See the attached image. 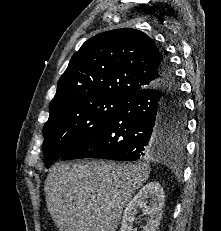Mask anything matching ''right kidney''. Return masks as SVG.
I'll return each mask as SVG.
<instances>
[{
    "label": "right kidney",
    "instance_id": "obj_1",
    "mask_svg": "<svg viewBox=\"0 0 221 231\" xmlns=\"http://www.w3.org/2000/svg\"><path fill=\"white\" fill-rule=\"evenodd\" d=\"M164 202L165 196L161 185L155 181L147 183L127 204L120 231H135L133 222L138 209H142L143 213L148 216L147 224L142 227L143 231H156L162 219Z\"/></svg>",
    "mask_w": 221,
    "mask_h": 231
}]
</instances>
